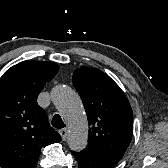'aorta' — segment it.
Segmentation results:
<instances>
[{"mask_svg": "<svg viewBox=\"0 0 168 168\" xmlns=\"http://www.w3.org/2000/svg\"><path fill=\"white\" fill-rule=\"evenodd\" d=\"M51 98L68 124L69 148L83 150L88 141V121L79 95L68 86L57 85L51 91Z\"/></svg>", "mask_w": 168, "mask_h": 168, "instance_id": "762f6f07", "label": "aorta"}]
</instances>
